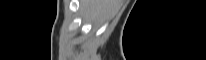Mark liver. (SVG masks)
<instances>
[{"mask_svg": "<svg viewBox=\"0 0 206 60\" xmlns=\"http://www.w3.org/2000/svg\"><path fill=\"white\" fill-rule=\"evenodd\" d=\"M119 5V0H81L80 10L83 19L94 25L112 15Z\"/></svg>", "mask_w": 206, "mask_h": 60, "instance_id": "1", "label": "liver"}]
</instances>
